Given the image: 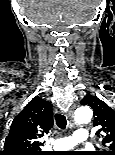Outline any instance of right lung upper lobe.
Returning <instances> with one entry per match:
<instances>
[{
	"label": "right lung upper lobe",
	"instance_id": "obj_1",
	"mask_svg": "<svg viewBox=\"0 0 115 155\" xmlns=\"http://www.w3.org/2000/svg\"><path fill=\"white\" fill-rule=\"evenodd\" d=\"M51 104L34 97L14 118L0 155H46L40 150L42 132L53 126Z\"/></svg>",
	"mask_w": 115,
	"mask_h": 155
}]
</instances>
